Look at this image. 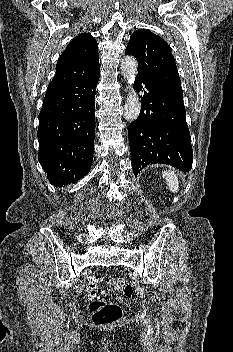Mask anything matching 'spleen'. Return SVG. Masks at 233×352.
Returning a JSON list of instances; mask_svg holds the SVG:
<instances>
[{
	"instance_id": "3e777b00",
	"label": "spleen",
	"mask_w": 233,
	"mask_h": 352,
	"mask_svg": "<svg viewBox=\"0 0 233 352\" xmlns=\"http://www.w3.org/2000/svg\"><path fill=\"white\" fill-rule=\"evenodd\" d=\"M162 176L164 179H166L169 189L173 193H177L179 190V181H178V177L176 176L174 171H172V170L167 171V172L163 171Z\"/></svg>"
}]
</instances>
